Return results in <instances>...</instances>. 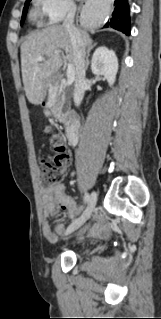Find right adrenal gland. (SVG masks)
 <instances>
[{"label": "right adrenal gland", "mask_w": 161, "mask_h": 319, "mask_svg": "<svg viewBox=\"0 0 161 319\" xmlns=\"http://www.w3.org/2000/svg\"><path fill=\"white\" fill-rule=\"evenodd\" d=\"M97 45V43H90L88 45V49H87V57H86V63H85V69L87 70L88 69V66H89V56H90V52L91 50Z\"/></svg>", "instance_id": "right-adrenal-gland-1"}]
</instances>
